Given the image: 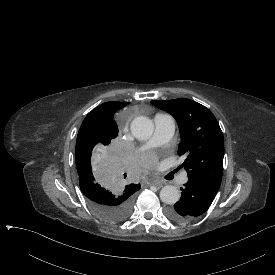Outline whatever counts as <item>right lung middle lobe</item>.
Listing matches in <instances>:
<instances>
[{"label":"right lung middle lobe","mask_w":275,"mask_h":275,"mask_svg":"<svg viewBox=\"0 0 275 275\" xmlns=\"http://www.w3.org/2000/svg\"><path fill=\"white\" fill-rule=\"evenodd\" d=\"M75 160L80 190L93 210L107 220L125 219L131 211L135 192H123L106 147L82 128L77 136Z\"/></svg>","instance_id":"right-lung-middle-lobe-1"}]
</instances>
